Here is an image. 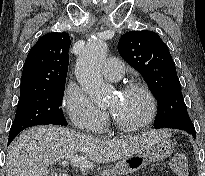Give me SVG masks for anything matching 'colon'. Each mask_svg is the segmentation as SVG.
Returning <instances> with one entry per match:
<instances>
[{
	"label": "colon",
	"instance_id": "1",
	"mask_svg": "<svg viewBox=\"0 0 205 176\" xmlns=\"http://www.w3.org/2000/svg\"><path fill=\"white\" fill-rule=\"evenodd\" d=\"M170 167L178 176L188 175V160L184 153L176 152L170 159Z\"/></svg>",
	"mask_w": 205,
	"mask_h": 176
}]
</instances>
